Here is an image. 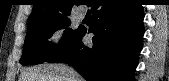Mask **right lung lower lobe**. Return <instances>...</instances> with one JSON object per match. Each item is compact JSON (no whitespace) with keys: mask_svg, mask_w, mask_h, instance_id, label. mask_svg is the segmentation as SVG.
Listing matches in <instances>:
<instances>
[{"mask_svg":"<svg viewBox=\"0 0 169 81\" xmlns=\"http://www.w3.org/2000/svg\"><path fill=\"white\" fill-rule=\"evenodd\" d=\"M96 18L88 32L93 47L83 45L79 32L46 62L68 63L87 81H133L144 34L143 8L134 0H95Z\"/></svg>","mask_w":169,"mask_h":81,"instance_id":"obj_1","label":"right lung lower lobe"}]
</instances>
